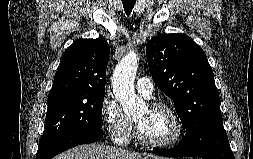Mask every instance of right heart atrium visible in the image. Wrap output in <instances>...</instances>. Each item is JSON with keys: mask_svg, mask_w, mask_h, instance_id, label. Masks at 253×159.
<instances>
[{"mask_svg": "<svg viewBox=\"0 0 253 159\" xmlns=\"http://www.w3.org/2000/svg\"><path fill=\"white\" fill-rule=\"evenodd\" d=\"M101 118L108 136L118 144H127L134 132L133 120L122 110L111 96L104 98L101 105Z\"/></svg>", "mask_w": 253, "mask_h": 159, "instance_id": "right-heart-atrium-1", "label": "right heart atrium"}]
</instances>
